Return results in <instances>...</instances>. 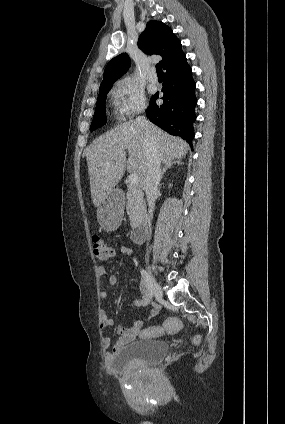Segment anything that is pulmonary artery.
Returning a JSON list of instances; mask_svg holds the SVG:
<instances>
[{"label":"pulmonary artery","instance_id":"pulmonary-artery-1","mask_svg":"<svg viewBox=\"0 0 285 424\" xmlns=\"http://www.w3.org/2000/svg\"><path fill=\"white\" fill-rule=\"evenodd\" d=\"M148 80L150 81V82H157V80H158V77H157V75L152 71V72H150L149 74H148Z\"/></svg>","mask_w":285,"mask_h":424}]
</instances>
